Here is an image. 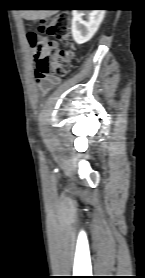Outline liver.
I'll return each instance as SVG.
<instances>
[{
  "label": "liver",
  "mask_w": 145,
  "mask_h": 278,
  "mask_svg": "<svg viewBox=\"0 0 145 278\" xmlns=\"http://www.w3.org/2000/svg\"><path fill=\"white\" fill-rule=\"evenodd\" d=\"M21 15L27 20L46 19L57 13V10H21Z\"/></svg>",
  "instance_id": "obj_1"
}]
</instances>
